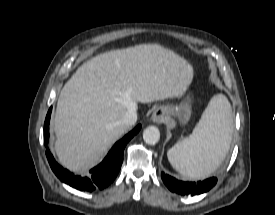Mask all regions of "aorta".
I'll return each mask as SVG.
<instances>
[{"mask_svg": "<svg viewBox=\"0 0 275 215\" xmlns=\"http://www.w3.org/2000/svg\"><path fill=\"white\" fill-rule=\"evenodd\" d=\"M160 139V131L155 126H148L143 131V140L149 144L154 145L156 144Z\"/></svg>", "mask_w": 275, "mask_h": 215, "instance_id": "aorta-1", "label": "aorta"}]
</instances>
